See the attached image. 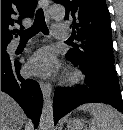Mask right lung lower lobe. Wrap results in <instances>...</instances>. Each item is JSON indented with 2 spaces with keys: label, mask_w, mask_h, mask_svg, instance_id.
<instances>
[{
  "label": "right lung lower lobe",
  "mask_w": 123,
  "mask_h": 130,
  "mask_svg": "<svg viewBox=\"0 0 123 130\" xmlns=\"http://www.w3.org/2000/svg\"><path fill=\"white\" fill-rule=\"evenodd\" d=\"M21 64L8 53L1 54V91L9 94L23 108L37 127L42 110V92L39 84L20 75Z\"/></svg>",
  "instance_id": "right-lung-lower-lobe-1"
}]
</instances>
